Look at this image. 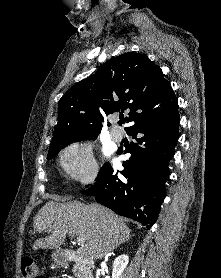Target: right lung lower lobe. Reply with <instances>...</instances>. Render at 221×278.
Wrapping results in <instances>:
<instances>
[{"label": "right lung lower lobe", "mask_w": 221, "mask_h": 278, "mask_svg": "<svg viewBox=\"0 0 221 278\" xmlns=\"http://www.w3.org/2000/svg\"><path fill=\"white\" fill-rule=\"evenodd\" d=\"M179 119L177 108L127 130L137 142L124 151L131 153V157L123 161L124 170L115 172L106 163L97 182L83 194L94 196L98 203L150 229L166 196L168 163L179 137Z\"/></svg>", "instance_id": "obj_1"}]
</instances>
